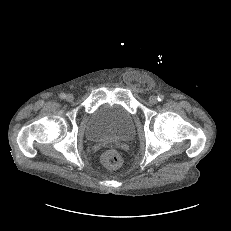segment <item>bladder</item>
Returning <instances> with one entry per match:
<instances>
[{
  "label": "bladder",
  "mask_w": 231,
  "mask_h": 231,
  "mask_svg": "<svg viewBox=\"0 0 231 231\" xmlns=\"http://www.w3.org/2000/svg\"><path fill=\"white\" fill-rule=\"evenodd\" d=\"M131 114L118 105L105 104L95 109L85 125L86 138L95 143L126 142L135 136Z\"/></svg>",
  "instance_id": "31cf9c89"
}]
</instances>
